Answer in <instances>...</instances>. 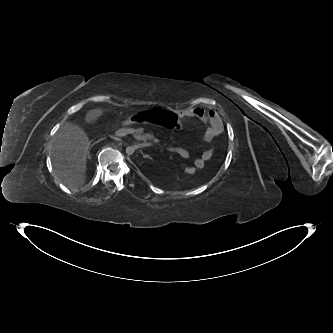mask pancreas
I'll list each match as a JSON object with an SVG mask.
<instances>
[{
  "mask_svg": "<svg viewBox=\"0 0 333 333\" xmlns=\"http://www.w3.org/2000/svg\"><path fill=\"white\" fill-rule=\"evenodd\" d=\"M125 133H131L133 134L134 138L137 141H143L146 142L148 140V138L150 137L149 134H143V130L142 129H125L124 130Z\"/></svg>",
  "mask_w": 333,
  "mask_h": 333,
  "instance_id": "cf45deb5",
  "label": "pancreas"
}]
</instances>
